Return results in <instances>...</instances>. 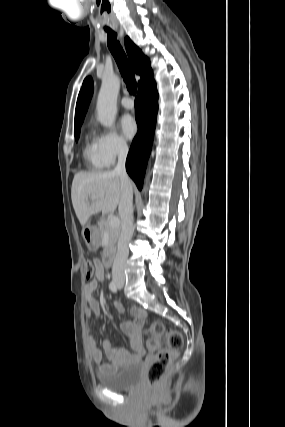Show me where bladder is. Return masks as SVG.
<instances>
[{
    "label": "bladder",
    "instance_id": "1",
    "mask_svg": "<svg viewBox=\"0 0 285 427\" xmlns=\"http://www.w3.org/2000/svg\"><path fill=\"white\" fill-rule=\"evenodd\" d=\"M142 363L136 361L118 371L100 374L98 381L103 386L112 390H130L134 389L141 378Z\"/></svg>",
    "mask_w": 285,
    "mask_h": 427
}]
</instances>
